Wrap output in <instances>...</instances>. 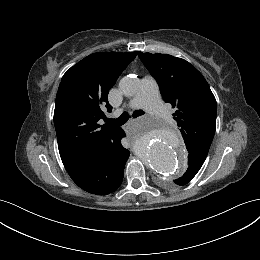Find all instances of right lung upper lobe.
<instances>
[{"label": "right lung upper lobe", "mask_w": 260, "mask_h": 260, "mask_svg": "<svg viewBox=\"0 0 260 260\" xmlns=\"http://www.w3.org/2000/svg\"><path fill=\"white\" fill-rule=\"evenodd\" d=\"M137 51L91 54L67 70L56 96L54 125L59 153L68 171L112 144L121 128L98 121L111 111L109 90Z\"/></svg>", "instance_id": "right-lung-upper-lobe-1"}]
</instances>
